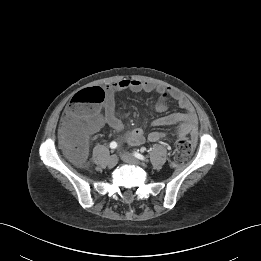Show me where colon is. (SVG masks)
Listing matches in <instances>:
<instances>
[{"label": "colon", "instance_id": "obj_1", "mask_svg": "<svg viewBox=\"0 0 261 261\" xmlns=\"http://www.w3.org/2000/svg\"><path fill=\"white\" fill-rule=\"evenodd\" d=\"M104 101V90L100 87H92L75 94L67 105L66 116L61 127V145L67 156L74 162L81 163L85 160L87 123ZM192 151V142L186 137H179L175 145V159L182 162L192 154Z\"/></svg>", "mask_w": 261, "mask_h": 261}]
</instances>
